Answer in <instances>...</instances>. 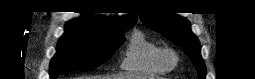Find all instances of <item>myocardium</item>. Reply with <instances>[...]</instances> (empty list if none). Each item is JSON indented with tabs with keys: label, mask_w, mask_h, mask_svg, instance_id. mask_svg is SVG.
I'll return each mask as SVG.
<instances>
[{
	"label": "myocardium",
	"mask_w": 255,
	"mask_h": 79,
	"mask_svg": "<svg viewBox=\"0 0 255 79\" xmlns=\"http://www.w3.org/2000/svg\"><path fill=\"white\" fill-rule=\"evenodd\" d=\"M179 56L172 48H162L159 51V61L166 70H173L179 64Z\"/></svg>",
	"instance_id": "1"
}]
</instances>
